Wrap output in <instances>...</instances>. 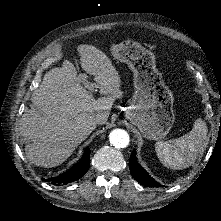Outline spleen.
<instances>
[{
    "instance_id": "1",
    "label": "spleen",
    "mask_w": 221,
    "mask_h": 221,
    "mask_svg": "<svg viewBox=\"0 0 221 221\" xmlns=\"http://www.w3.org/2000/svg\"><path fill=\"white\" fill-rule=\"evenodd\" d=\"M207 133L206 123L199 118L189 133L177 139L157 142L156 152L160 162L174 170H182L193 165L205 145Z\"/></svg>"
}]
</instances>
